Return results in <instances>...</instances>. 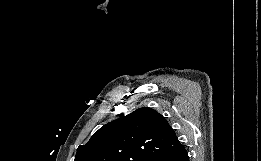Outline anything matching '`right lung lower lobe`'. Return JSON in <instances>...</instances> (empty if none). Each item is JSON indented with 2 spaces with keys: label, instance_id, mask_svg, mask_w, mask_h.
Masks as SVG:
<instances>
[{
  "label": "right lung lower lobe",
  "instance_id": "obj_1",
  "mask_svg": "<svg viewBox=\"0 0 261 161\" xmlns=\"http://www.w3.org/2000/svg\"><path fill=\"white\" fill-rule=\"evenodd\" d=\"M152 161H189V157L185 147L183 146L177 151L158 156Z\"/></svg>",
  "mask_w": 261,
  "mask_h": 161
}]
</instances>
